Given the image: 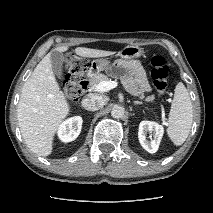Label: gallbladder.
I'll return each mask as SVG.
<instances>
[{
  "label": "gallbladder",
  "mask_w": 213,
  "mask_h": 213,
  "mask_svg": "<svg viewBox=\"0 0 213 213\" xmlns=\"http://www.w3.org/2000/svg\"><path fill=\"white\" fill-rule=\"evenodd\" d=\"M50 60L55 75L61 79L63 76V54L59 51L53 50L50 52Z\"/></svg>",
  "instance_id": "gallbladder-1"
}]
</instances>
